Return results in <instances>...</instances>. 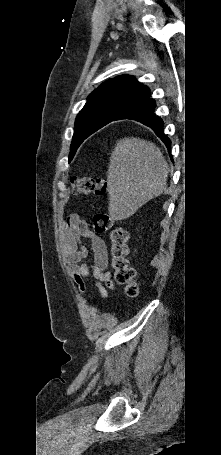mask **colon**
I'll return each instance as SVG.
<instances>
[{
	"instance_id": "5ec220e1",
	"label": "colon",
	"mask_w": 221,
	"mask_h": 455,
	"mask_svg": "<svg viewBox=\"0 0 221 455\" xmlns=\"http://www.w3.org/2000/svg\"><path fill=\"white\" fill-rule=\"evenodd\" d=\"M72 192L75 195L104 196L107 192L106 181L90 177H75L71 181ZM93 227L98 233L110 231V264L117 283L125 285L129 296H136L139 292V283L135 271L129 264L128 232L122 226H113L109 214L96 213L93 216Z\"/></svg>"
}]
</instances>
